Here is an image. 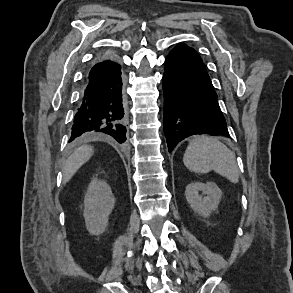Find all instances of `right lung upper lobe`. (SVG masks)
<instances>
[{
  "label": "right lung upper lobe",
  "instance_id": "1",
  "mask_svg": "<svg viewBox=\"0 0 293 293\" xmlns=\"http://www.w3.org/2000/svg\"><path fill=\"white\" fill-rule=\"evenodd\" d=\"M102 57H104V58H112V56L110 54H104Z\"/></svg>",
  "mask_w": 293,
  "mask_h": 293
}]
</instances>
